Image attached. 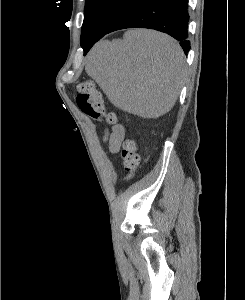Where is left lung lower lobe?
Returning a JSON list of instances; mask_svg holds the SVG:
<instances>
[{
    "mask_svg": "<svg viewBox=\"0 0 245 300\" xmlns=\"http://www.w3.org/2000/svg\"><path fill=\"white\" fill-rule=\"evenodd\" d=\"M188 0H137L120 14L103 34L92 33L88 37L84 55L105 34L125 28H148L167 33L180 41L187 54Z\"/></svg>",
    "mask_w": 245,
    "mask_h": 300,
    "instance_id": "left-lung-lower-lobe-1",
    "label": "left lung lower lobe"
}]
</instances>
